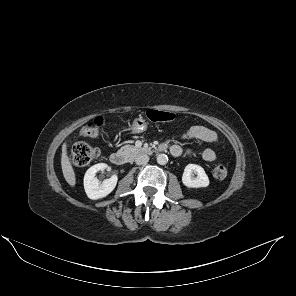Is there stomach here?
I'll return each mask as SVG.
<instances>
[{"label": "stomach", "instance_id": "obj_1", "mask_svg": "<svg viewBox=\"0 0 296 296\" xmlns=\"http://www.w3.org/2000/svg\"><path fill=\"white\" fill-rule=\"evenodd\" d=\"M148 124L143 118H136L132 124V133H142L147 130Z\"/></svg>", "mask_w": 296, "mask_h": 296}]
</instances>
